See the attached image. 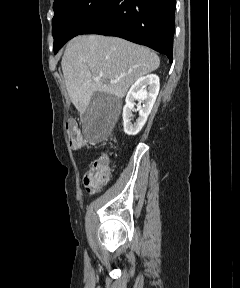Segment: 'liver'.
Wrapping results in <instances>:
<instances>
[{"label":"liver","instance_id":"obj_1","mask_svg":"<svg viewBox=\"0 0 240 288\" xmlns=\"http://www.w3.org/2000/svg\"><path fill=\"white\" fill-rule=\"evenodd\" d=\"M159 65V57L149 48L101 35L73 38L61 62L68 95L80 114L87 111L94 93L123 98L137 79ZM98 75L102 78L94 81Z\"/></svg>","mask_w":240,"mask_h":288}]
</instances>
